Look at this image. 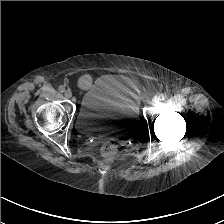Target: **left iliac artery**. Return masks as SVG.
Masks as SVG:
<instances>
[{"instance_id": "44dca946", "label": "left iliac artery", "mask_w": 224, "mask_h": 224, "mask_svg": "<svg viewBox=\"0 0 224 224\" xmlns=\"http://www.w3.org/2000/svg\"><path fill=\"white\" fill-rule=\"evenodd\" d=\"M166 99V95L165 94H160L159 95V100L163 101Z\"/></svg>"}]
</instances>
